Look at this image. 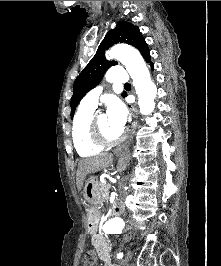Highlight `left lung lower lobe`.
Masks as SVG:
<instances>
[{"instance_id": "0a47b994", "label": "left lung lower lobe", "mask_w": 221, "mask_h": 266, "mask_svg": "<svg viewBox=\"0 0 221 266\" xmlns=\"http://www.w3.org/2000/svg\"><path fill=\"white\" fill-rule=\"evenodd\" d=\"M150 60H151V59L146 60V61H147V62H150ZM150 65H151V69L154 70V65H153V63H151ZM125 96H126V95H125ZM125 96H124V97H125Z\"/></svg>"}]
</instances>
